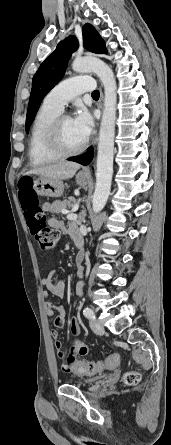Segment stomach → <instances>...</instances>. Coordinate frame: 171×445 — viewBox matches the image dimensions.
<instances>
[{
  "label": "stomach",
  "mask_w": 171,
  "mask_h": 445,
  "mask_svg": "<svg viewBox=\"0 0 171 445\" xmlns=\"http://www.w3.org/2000/svg\"><path fill=\"white\" fill-rule=\"evenodd\" d=\"M77 183L84 185L87 178L77 176ZM33 188L38 195L58 198L63 195L64 184L62 180H54L45 177L33 178Z\"/></svg>",
  "instance_id": "0dacf381"
}]
</instances>
